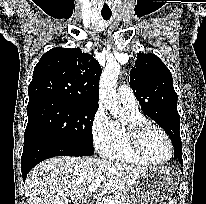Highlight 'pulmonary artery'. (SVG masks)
<instances>
[{"label": "pulmonary artery", "mask_w": 206, "mask_h": 204, "mask_svg": "<svg viewBox=\"0 0 206 204\" xmlns=\"http://www.w3.org/2000/svg\"><path fill=\"white\" fill-rule=\"evenodd\" d=\"M118 97L122 104L130 107H138L137 99L129 86L121 85L118 88Z\"/></svg>", "instance_id": "e3ab8cb5"}]
</instances>
